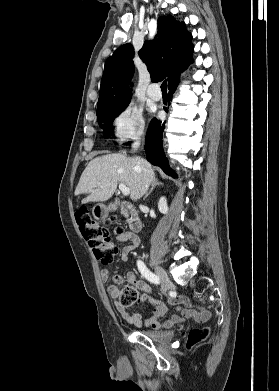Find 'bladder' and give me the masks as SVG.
I'll use <instances>...</instances> for the list:
<instances>
[{
  "instance_id": "obj_1",
  "label": "bladder",
  "mask_w": 279,
  "mask_h": 391,
  "mask_svg": "<svg viewBox=\"0 0 279 391\" xmlns=\"http://www.w3.org/2000/svg\"><path fill=\"white\" fill-rule=\"evenodd\" d=\"M142 334L156 343H168L170 342L174 335V331H162V330H144Z\"/></svg>"
}]
</instances>
